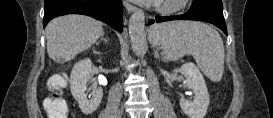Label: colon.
Returning a JSON list of instances; mask_svg holds the SVG:
<instances>
[{
  "label": "colon",
  "instance_id": "obj_1",
  "mask_svg": "<svg viewBox=\"0 0 273 118\" xmlns=\"http://www.w3.org/2000/svg\"><path fill=\"white\" fill-rule=\"evenodd\" d=\"M51 86L54 88V92L51 96L43 100V108L50 118H66L68 107L61 96L60 88L54 85V80H50Z\"/></svg>",
  "mask_w": 273,
  "mask_h": 118
}]
</instances>
